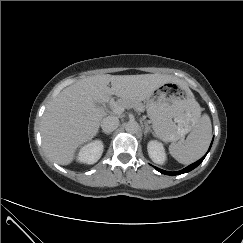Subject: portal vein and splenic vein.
<instances>
[{
    "instance_id": "18ae733b",
    "label": "portal vein and splenic vein",
    "mask_w": 243,
    "mask_h": 243,
    "mask_svg": "<svg viewBox=\"0 0 243 243\" xmlns=\"http://www.w3.org/2000/svg\"><path fill=\"white\" fill-rule=\"evenodd\" d=\"M113 112L115 114H122L125 110V108L123 106H120V105H115L113 108H112Z\"/></svg>"
}]
</instances>
